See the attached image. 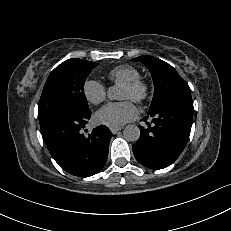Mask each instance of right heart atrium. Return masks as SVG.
Here are the masks:
<instances>
[{"label": "right heart atrium", "mask_w": 231, "mask_h": 231, "mask_svg": "<svg viewBox=\"0 0 231 231\" xmlns=\"http://www.w3.org/2000/svg\"><path fill=\"white\" fill-rule=\"evenodd\" d=\"M83 95L89 103L99 105L106 100L107 91L100 81L88 79L83 84Z\"/></svg>", "instance_id": "right-heart-atrium-1"}]
</instances>
